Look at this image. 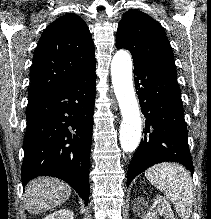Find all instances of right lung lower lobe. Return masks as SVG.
<instances>
[{
    "label": "right lung lower lobe",
    "instance_id": "1",
    "mask_svg": "<svg viewBox=\"0 0 211 219\" xmlns=\"http://www.w3.org/2000/svg\"><path fill=\"white\" fill-rule=\"evenodd\" d=\"M95 86L92 67L53 91L28 100L23 185L38 176L57 177L87 205Z\"/></svg>",
    "mask_w": 211,
    "mask_h": 219
}]
</instances>
